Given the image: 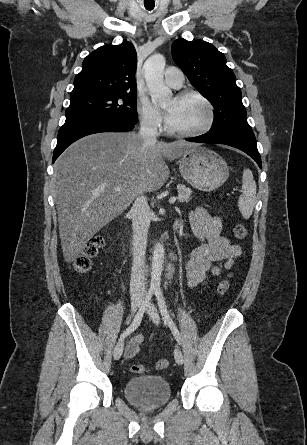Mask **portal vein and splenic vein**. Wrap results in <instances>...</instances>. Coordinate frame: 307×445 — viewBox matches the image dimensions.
<instances>
[{
    "label": "portal vein and splenic vein",
    "mask_w": 307,
    "mask_h": 445,
    "mask_svg": "<svg viewBox=\"0 0 307 445\" xmlns=\"http://www.w3.org/2000/svg\"><path fill=\"white\" fill-rule=\"evenodd\" d=\"M116 190H120V186H116ZM175 200V196H171V198H169V202H175Z\"/></svg>",
    "instance_id": "1"
}]
</instances>
